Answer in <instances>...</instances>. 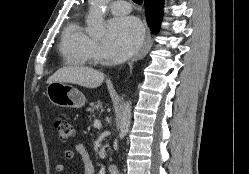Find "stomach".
I'll list each match as a JSON object with an SVG mask.
<instances>
[{
	"instance_id": "0dacf381",
	"label": "stomach",
	"mask_w": 249,
	"mask_h": 174,
	"mask_svg": "<svg viewBox=\"0 0 249 174\" xmlns=\"http://www.w3.org/2000/svg\"><path fill=\"white\" fill-rule=\"evenodd\" d=\"M50 102L59 107L80 108L86 98L79 90L62 82L49 83L46 89Z\"/></svg>"
}]
</instances>
